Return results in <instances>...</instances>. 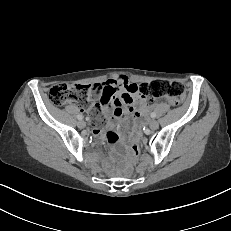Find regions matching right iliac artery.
I'll use <instances>...</instances> for the list:
<instances>
[{
	"mask_svg": "<svg viewBox=\"0 0 231 231\" xmlns=\"http://www.w3.org/2000/svg\"><path fill=\"white\" fill-rule=\"evenodd\" d=\"M77 118H78L79 120H82V119H83V116H82V115H78Z\"/></svg>",
	"mask_w": 231,
	"mask_h": 231,
	"instance_id": "obj_1",
	"label": "right iliac artery"
}]
</instances>
